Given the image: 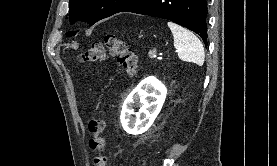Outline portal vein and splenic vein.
Returning <instances> with one entry per match:
<instances>
[{"label": "portal vein and splenic vein", "mask_w": 277, "mask_h": 166, "mask_svg": "<svg viewBox=\"0 0 277 166\" xmlns=\"http://www.w3.org/2000/svg\"><path fill=\"white\" fill-rule=\"evenodd\" d=\"M150 57H151V58H154V59L158 58V56H157V54H156L155 52H154V53H151Z\"/></svg>", "instance_id": "18ae733b"}]
</instances>
